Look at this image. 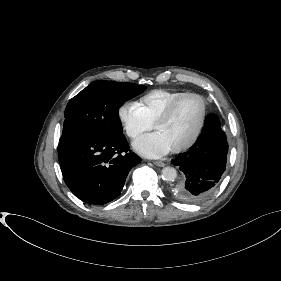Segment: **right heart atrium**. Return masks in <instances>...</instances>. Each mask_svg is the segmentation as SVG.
I'll return each mask as SVG.
<instances>
[{"mask_svg":"<svg viewBox=\"0 0 281 281\" xmlns=\"http://www.w3.org/2000/svg\"><path fill=\"white\" fill-rule=\"evenodd\" d=\"M118 118L131 139H136L152 128V123L147 119L137 102L127 101L118 108Z\"/></svg>","mask_w":281,"mask_h":281,"instance_id":"obj_1","label":"right heart atrium"}]
</instances>
